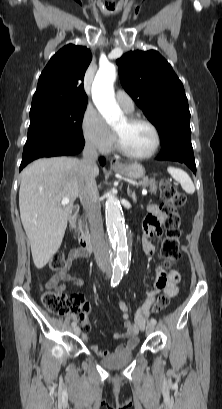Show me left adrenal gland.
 <instances>
[{"label": "left adrenal gland", "instance_id": "a2214340", "mask_svg": "<svg viewBox=\"0 0 222 409\" xmlns=\"http://www.w3.org/2000/svg\"><path fill=\"white\" fill-rule=\"evenodd\" d=\"M127 194H128L129 197L132 198V200H133L134 202H137L136 194H135V192H132V191H131V189L129 188V186H128V188H127Z\"/></svg>", "mask_w": 222, "mask_h": 409}]
</instances>
